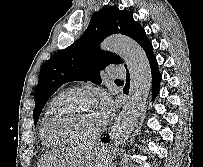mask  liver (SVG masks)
Listing matches in <instances>:
<instances>
[{"instance_id":"6515ba94","label":"liver","mask_w":203,"mask_h":167,"mask_svg":"<svg viewBox=\"0 0 203 167\" xmlns=\"http://www.w3.org/2000/svg\"><path fill=\"white\" fill-rule=\"evenodd\" d=\"M94 147L67 148L44 155L37 167H84Z\"/></svg>"}]
</instances>
